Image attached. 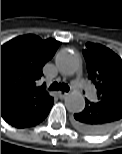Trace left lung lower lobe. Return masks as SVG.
Instances as JSON below:
<instances>
[{
	"label": "left lung lower lobe",
	"mask_w": 122,
	"mask_h": 154,
	"mask_svg": "<svg viewBox=\"0 0 122 154\" xmlns=\"http://www.w3.org/2000/svg\"><path fill=\"white\" fill-rule=\"evenodd\" d=\"M85 101V109L74 114L73 124L86 134H103L122 118V99H104L95 103Z\"/></svg>",
	"instance_id": "1"
}]
</instances>
